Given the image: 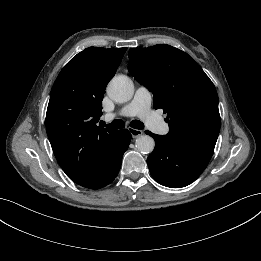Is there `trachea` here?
<instances>
[{
	"mask_svg": "<svg viewBox=\"0 0 261 261\" xmlns=\"http://www.w3.org/2000/svg\"><path fill=\"white\" fill-rule=\"evenodd\" d=\"M104 126H106L109 129H121V128H124L125 124L122 120L116 119L113 122H111L110 124L106 125L104 123ZM130 126L134 129H143L144 128V124L141 121H138V120H133L130 123Z\"/></svg>",
	"mask_w": 261,
	"mask_h": 261,
	"instance_id": "3493384b",
	"label": "trachea"
}]
</instances>
